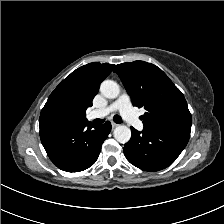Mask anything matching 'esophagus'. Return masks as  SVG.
Wrapping results in <instances>:
<instances>
[{
  "label": "esophagus",
  "instance_id": "1",
  "mask_svg": "<svg viewBox=\"0 0 224 224\" xmlns=\"http://www.w3.org/2000/svg\"><path fill=\"white\" fill-rule=\"evenodd\" d=\"M111 125H112V127H113V128H115V127H117V126H118V124H117V123H115V122H111Z\"/></svg>",
  "mask_w": 224,
  "mask_h": 224
}]
</instances>
